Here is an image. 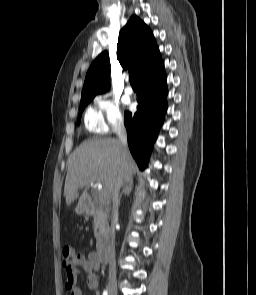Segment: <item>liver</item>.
<instances>
[{"label":"liver","mask_w":256,"mask_h":295,"mask_svg":"<svg viewBox=\"0 0 256 295\" xmlns=\"http://www.w3.org/2000/svg\"><path fill=\"white\" fill-rule=\"evenodd\" d=\"M135 162L127 150L122 155L121 144L117 139L94 138L85 140L77 147L67 162V175L64 195L70 205L79 197L78 189L96 181L104 186V192L110 196L118 180L132 182ZM87 190L80 196L83 201Z\"/></svg>","instance_id":"liver-1"}]
</instances>
